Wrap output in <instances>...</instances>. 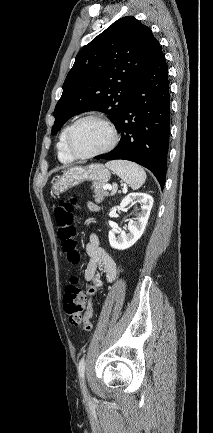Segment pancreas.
<instances>
[{"label": "pancreas", "mask_w": 213, "mask_h": 433, "mask_svg": "<svg viewBox=\"0 0 213 433\" xmlns=\"http://www.w3.org/2000/svg\"><path fill=\"white\" fill-rule=\"evenodd\" d=\"M94 198L96 203H101L104 197L107 195L106 190L103 188L102 184L95 183L94 185Z\"/></svg>", "instance_id": "pancreas-1"}]
</instances>
